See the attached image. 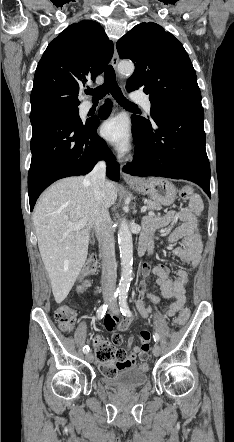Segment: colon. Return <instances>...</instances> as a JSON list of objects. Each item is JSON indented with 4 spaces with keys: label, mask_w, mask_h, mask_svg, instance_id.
<instances>
[{
    "label": "colon",
    "mask_w": 234,
    "mask_h": 442,
    "mask_svg": "<svg viewBox=\"0 0 234 442\" xmlns=\"http://www.w3.org/2000/svg\"><path fill=\"white\" fill-rule=\"evenodd\" d=\"M196 193L191 186H184L180 190V197L183 200H193L196 198ZM96 270V260L94 258L88 260L82 270V273L79 278L80 282V290L84 291L90 284V278L95 273ZM189 317V310L184 309L180 315L174 320V324L178 327L182 326ZM55 320L58 323L59 327L65 331H71L74 322H75V314L74 311L68 305L60 306L55 312ZM141 348V347H140ZM149 350V349H148ZM96 356L98 360V367L100 372L105 376L113 375L119 368L126 367L127 364V354L126 352L118 348L117 346H113L107 341H101L96 346ZM144 359L142 361V367L147 368Z\"/></svg>",
    "instance_id": "5ec220e1"
}]
</instances>
